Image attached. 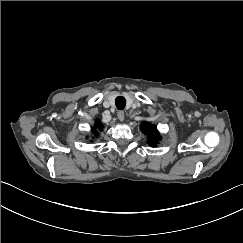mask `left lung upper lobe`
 <instances>
[{"label": "left lung upper lobe", "instance_id": "1", "mask_svg": "<svg viewBox=\"0 0 243 243\" xmlns=\"http://www.w3.org/2000/svg\"><path fill=\"white\" fill-rule=\"evenodd\" d=\"M141 130L147 136L149 145L154 147L159 143L160 136L155 125L145 122L142 124Z\"/></svg>", "mask_w": 243, "mask_h": 243}]
</instances>
